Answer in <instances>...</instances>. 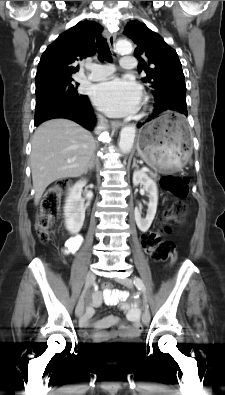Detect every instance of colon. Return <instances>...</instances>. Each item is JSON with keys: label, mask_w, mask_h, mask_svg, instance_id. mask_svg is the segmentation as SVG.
Listing matches in <instances>:
<instances>
[{"label": "colon", "mask_w": 225, "mask_h": 395, "mask_svg": "<svg viewBox=\"0 0 225 395\" xmlns=\"http://www.w3.org/2000/svg\"><path fill=\"white\" fill-rule=\"evenodd\" d=\"M68 185V180L54 182L47 188L40 200L36 217V229L42 243H47L52 236L54 221L59 216L61 196ZM161 185L163 189L176 198V201L166 211L160 228L144 235L142 243L154 260L172 263L177 257L175 244L170 240H163L162 236L170 232L171 222H182L185 217L187 207L184 199L189 191V179L184 175H164L161 178ZM101 286L102 288H112L113 283L112 281H102Z\"/></svg>", "instance_id": "5ec220e1"}]
</instances>
